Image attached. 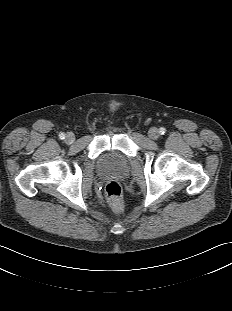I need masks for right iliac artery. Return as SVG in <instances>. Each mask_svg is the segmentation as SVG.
<instances>
[{"label": "right iliac artery", "mask_w": 232, "mask_h": 311, "mask_svg": "<svg viewBox=\"0 0 232 311\" xmlns=\"http://www.w3.org/2000/svg\"><path fill=\"white\" fill-rule=\"evenodd\" d=\"M59 138H60V139H65V134H64V133H60V134H59Z\"/></svg>", "instance_id": "obj_1"}]
</instances>
